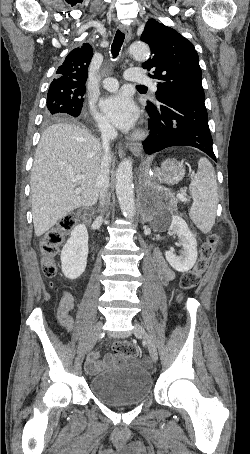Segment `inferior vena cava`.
Wrapping results in <instances>:
<instances>
[{"mask_svg":"<svg viewBox=\"0 0 250 454\" xmlns=\"http://www.w3.org/2000/svg\"><path fill=\"white\" fill-rule=\"evenodd\" d=\"M103 156L101 159V169L98 176L100 206L105 210L110 201L109 194V165H110V141L117 137L115 128L107 122L100 125Z\"/></svg>","mask_w":250,"mask_h":454,"instance_id":"inferior-vena-cava-1","label":"inferior vena cava"}]
</instances>
